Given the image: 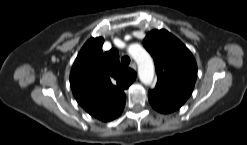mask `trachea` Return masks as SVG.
Instances as JSON below:
<instances>
[{
  "instance_id": "1",
  "label": "trachea",
  "mask_w": 247,
  "mask_h": 145,
  "mask_svg": "<svg viewBox=\"0 0 247 145\" xmlns=\"http://www.w3.org/2000/svg\"><path fill=\"white\" fill-rule=\"evenodd\" d=\"M121 63L123 66H128L130 64V58L128 56L122 57Z\"/></svg>"
}]
</instances>
